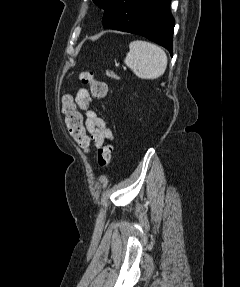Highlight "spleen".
<instances>
[{"label":"spleen","instance_id":"obj_1","mask_svg":"<svg viewBox=\"0 0 240 287\" xmlns=\"http://www.w3.org/2000/svg\"><path fill=\"white\" fill-rule=\"evenodd\" d=\"M124 63L141 79H157L165 72L167 56L157 45L135 40L129 44Z\"/></svg>","mask_w":240,"mask_h":287}]
</instances>
